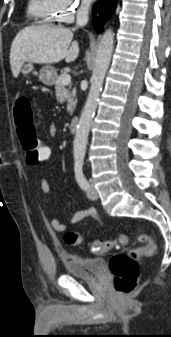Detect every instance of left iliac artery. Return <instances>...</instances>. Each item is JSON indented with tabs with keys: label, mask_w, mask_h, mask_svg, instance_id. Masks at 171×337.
<instances>
[{
	"label": "left iliac artery",
	"mask_w": 171,
	"mask_h": 337,
	"mask_svg": "<svg viewBox=\"0 0 171 337\" xmlns=\"http://www.w3.org/2000/svg\"><path fill=\"white\" fill-rule=\"evenodd\" d=\"M83 164H84V156H82V155L76 156L75 157V166H74L75 177H76V180H77L79 186L83 190H87L88 182H87L86 177L83 174Z\"/></svg>",
	"instance_id": "left-iliac-artery-1"
}]
</instances>
